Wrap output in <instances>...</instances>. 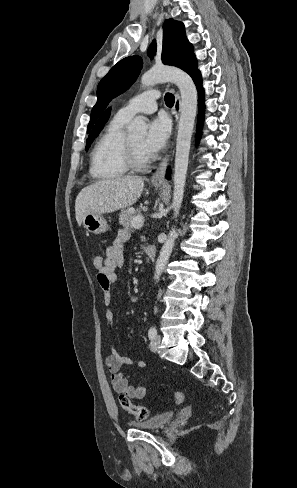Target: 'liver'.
<instances>
[{
    "mask_svg": "<svg viewBox=\"0 0 297 488\" xmlns=\"http://www.w3.org/2000/svg\"><path fill=\"white\" fill-rule=\"evenodd\" d=\"M144 188L139 176L101 180L83 188L75 201L78 224L88 213L104 214L130 207L137 202Z\"/></svg>",
    "mask_w": 297,
    "mask_h": 488,
    "instance_id": "6515ba94",
    "label": "liver"
}]
</instances>
